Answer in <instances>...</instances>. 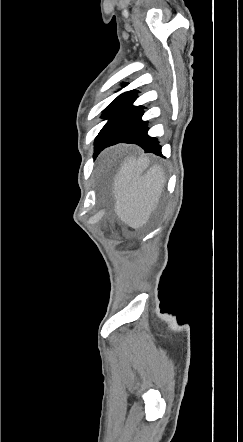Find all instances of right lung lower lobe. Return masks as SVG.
Here are the masks:
<instances>
[{"label":"right lung lower lobe","mask_w":243,"mask_h":442,"mask_svg":"<svg viewBox=\"0 0 243 442\" xmlns=\"http://www.w3.org/2000/svg\"><path fill=\"white\" fill-rule=\"evenodd\" d=\"M136 92L124 98L108 115V122L95 139V155L117 143H134L145 152L161 155V146L147 135V121H142L143 106H133Z\"/></svg>","instance_id":"98d812e1"}]
</instances>
